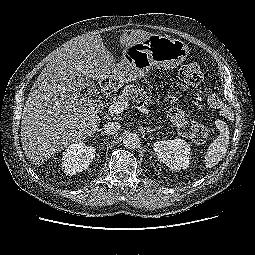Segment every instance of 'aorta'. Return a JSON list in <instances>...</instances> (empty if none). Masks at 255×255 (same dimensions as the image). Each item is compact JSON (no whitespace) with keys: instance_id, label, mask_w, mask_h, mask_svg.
Wrapping results in <instances>:
<instances>
[{"instance_id":"obj_1","label":"aorta","mask_w":255,"mask_h":255,"mask_svg":"<svg viewBox=\"0 0 255 255\" xmlns=\"http://www.w3.org/2000/svg\"><path fill=\"white\" fill-rule=\"evenodd\" d=\"M140 143L139 136L133 132H127L123 136V145L128 149H135Z\"/></svg>"}]
</instances>
